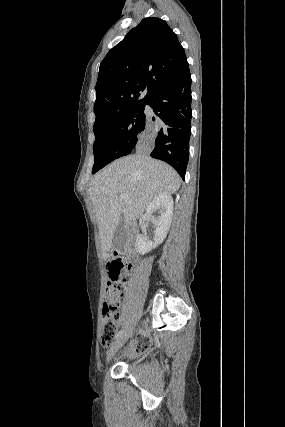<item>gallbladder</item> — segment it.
<instances>
[{
    "label": "gallbladder",
    "instance_id": "obj_1",
    "mask_svg": "<svg viewBox=\"0 0 285 427\" xmlns=\"http://www.w3.org/2000/svg\"><path fill=\"white\" fill-rule=\"evenodd\" d=\"M126 232L124 227V218L121 217L120 222L114 232V237L111 243L112 250L121 252L125 247Z\"/></svg>",
    "mask_w": 285,
    "mask_h": 427
}]
</instances>
